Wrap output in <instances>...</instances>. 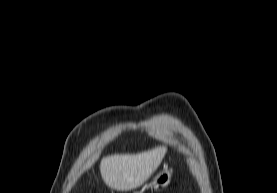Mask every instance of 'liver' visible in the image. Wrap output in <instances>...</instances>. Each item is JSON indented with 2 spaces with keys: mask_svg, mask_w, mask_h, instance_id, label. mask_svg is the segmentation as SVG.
I'll list each match as a JSON object with an SVG mask.
<instances>
[{
  "mask_svg": "<svg viewBox=\"0 0 277 193\" xmlns=\"http://www.w3.org/2000/svg\"><path fill=\"white\" fill-rule=\"evenodd\" d=\"M167 148L158 146L138 154H115L104 157L100 172L105 184L117 191L140 187L161 164Z\"/></svg>",
  "mask_w": 277,
  "mask_h": 193,
  "instance_id": "obj_1",
  "label": "liver"
}]
</instances>
